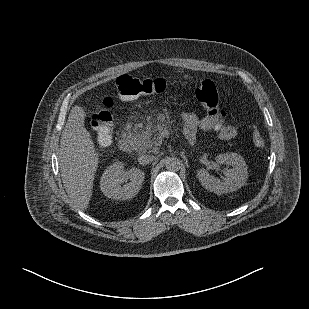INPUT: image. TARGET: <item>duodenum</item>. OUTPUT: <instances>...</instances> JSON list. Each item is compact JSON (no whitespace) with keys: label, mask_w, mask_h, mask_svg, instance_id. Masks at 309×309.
<instances>
[{"label":"duodenum","mask_w":309,"mask_h":309,"mask_svg":"<svg viewBox=\"0 0 309 309\" xmlns=\"http://www.w3.org/2000/svg\"><path fill=\"white\" fill-rule=\"evenodd\" d=\"M119 149L124 153H130L134 149V140L128 135L122 136L118 141Z\"/></svg>","instance_id":"410a0bca"}]
</instances>
